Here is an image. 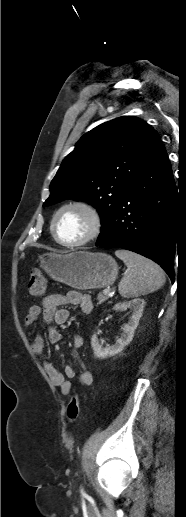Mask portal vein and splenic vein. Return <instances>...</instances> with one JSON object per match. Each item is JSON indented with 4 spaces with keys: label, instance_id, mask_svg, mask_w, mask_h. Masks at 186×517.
<instances>
[{
    "label": "portal vein and splenic vein",
    "instance_id": "1",
    "mask_svg": "<svg viewBox=\"0 0 186 517\" xmlns=\"http://www.w3.org/2000/svg\"><path fill=\"white\" fill-rule=\"evenodd\" d=\"M104 293H105V294H107V295H110V294H111V293H110V289H105V290H104Z\"/></svg>",
    "mask_w": 186,
    "mask_h": 517
}]
</instances>
